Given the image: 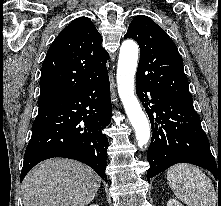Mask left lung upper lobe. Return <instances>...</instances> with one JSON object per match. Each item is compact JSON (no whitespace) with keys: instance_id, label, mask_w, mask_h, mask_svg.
Listing matches in <instances>:
<instances>
[{"instance_id":"5c2ea615","label":"left lung upper lobe","mask_w":221,"mask_h":206,"mask_svg":"<svg viewBox=\"0 0 221 206\" xmlns=\"http://www.w3.org/2000/svg\"><path fill=\"white\" fill-rule=\"evenodd\" d=\"M124 38L135 39L140 47L137 84L166 99L193 104L182 57L171 38L152 19L136 16Z\"/></svg>"}]
</instances>
